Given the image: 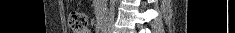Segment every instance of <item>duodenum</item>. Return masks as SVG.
Returning <instances> with one entry per match:
<instances>
[{"mask_svg": "<svg viewBox=\"0 0 235 33\" xmlns=\"http://www.w3.org/2000/svg\"><path fill=\"white\" fill-rule=\"evenodd\" d=\"M106 30V23L105 22H102L101 23V31L104 33Z\"/></svg>", "mask_w": 235, "mask_h": 33, "instance_id": "1", "label": "duodenum"}]
</instances>
